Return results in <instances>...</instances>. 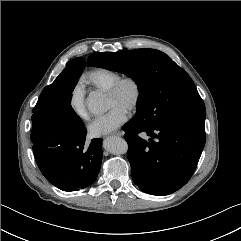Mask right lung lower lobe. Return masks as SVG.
<instances>
[{
    "label": "right lung lower lobe",
    "mask_w": 241,
    "mask_h": 241,
    "mask_svg": "<svg viewBox=\"0 0 241 241\" xmlns=\"http://www.w3.org/2000/svg\"><path fill=\"white\" fill-rule=\"evenodd\" d=\"M49 132V131H47ZM86 129L70 141L52 135L43 136L35 129L31 141L36 163L45 178L63 191H77L96 180L102 162V139H92L85 145Z\"/></svg>",
    "instance_id": "obj_1"
}]
</instances>
